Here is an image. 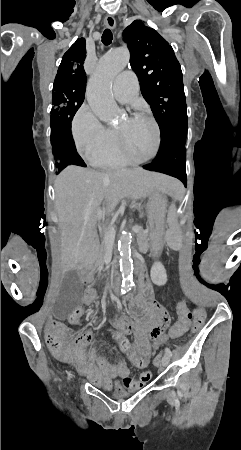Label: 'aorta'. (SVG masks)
I'll return each mask as SVG.
<instances>
[{
    "label": "aorta",
    "instance_id": "obj_1",
    "mask_svg": "<svg viewBox=\"0 0 241 450\" xmlns=\"http://www.w3.org/2000/svg\"><path fill=\"white\" fill-rule=\"evenodd\" d=\"M130 54L127 49L120 48L103 56L88 82L87 101L94 114L106 123H113L119 117V108L112 96L113 79L129 63ZM132 235L123 232L118 242L120 253V271L123 284H133V260L131 253Z\"/></svg>",
    "mask_w": 241,
    "mask_h": 450
}]
</instances>
